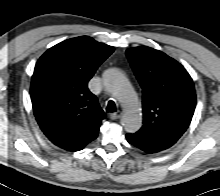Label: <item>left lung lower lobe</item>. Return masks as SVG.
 Returning a JSON list of instances; mask_svg holds the SVG:
<instances>
[{"label": "left lung lower lobe", "mask_w": 220, "mask_h": 196, "mask_svg": "<svg viewBox=\"0 0 220 196\" xmlns=\"http://www.w3.org/2000/svg\"><path fill=\"white\" fill-rule=\"evenodd\" d=\"M126 138L128 142L137 148L147 152V153H156L162 151V149L156 147L155 145L151 144L142 136L134 133V134H127Z\"/></svg>", "instance_id": "left-lung-lower-lobe-1"}]
</instances>
